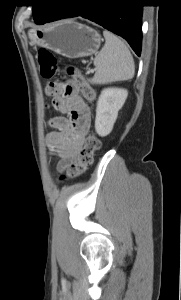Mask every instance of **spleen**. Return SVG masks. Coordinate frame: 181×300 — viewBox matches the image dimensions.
Masks as SVG:
<instances>
[{
  "label": "spleen",
  "instance_id": "1",
  "mask_svg": "<svg viewBox=\"0 0 181 300\" xmlns=\"http://www.w3.org/2000/svg\"><path fill=\"white\" fill-rule=\"evenodd\" d=\"M105 45L94 59L96 73L91 84L103 85L128 80L134 76V59L126 44L110 31L104 30Z\"/></svg>",
  "mask_w": 181,
  "mask_h": 300
}]
</instances>
